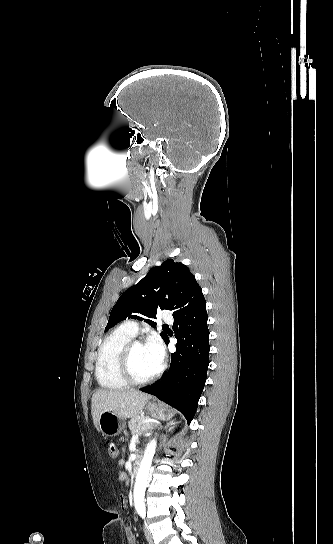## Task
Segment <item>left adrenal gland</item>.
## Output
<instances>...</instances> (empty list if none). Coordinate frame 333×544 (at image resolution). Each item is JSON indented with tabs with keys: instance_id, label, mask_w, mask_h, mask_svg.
I'll list each match as a JSON object with an SVG mask.
<instances>
[{
	"instance_id": "left-adrenal-gland-1",
	"label": "left adrenal gland",
	"mask_w": 333,
	"mask_h": 544,
	"mask_svg": "<svg viewBox=\"0 0 333 544\" xmlns=\"http://www.w3.org/2000/svg\"><path fill=\"white\" fill-rule=\"evenodd\" d=\"M175 424H176L175 422H170V423L167 424V427H169L170 425H173V427H174ZM173 427H171L169 430H171Z\"/></svg>"
}]
</instances>
